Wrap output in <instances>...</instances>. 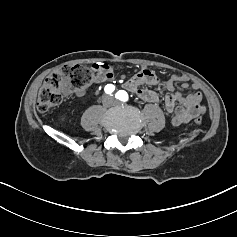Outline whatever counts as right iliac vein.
<instances>
[{"mask_svg":"<svg viewBox=\"0 0 237 237\" xmlns=\"http://www.w3.org/2000/svg\"><path fill=\"white\" fill-rule=\"evenodd\" d=\"M104 102L107 104V105H111V99L109 97H106L104 99Z\"/></svg>","mask_w":237,"mask_h":237,"instance_id":"63e3f726","label":"right iliac vein"}]
</instances>
